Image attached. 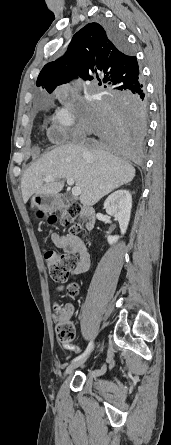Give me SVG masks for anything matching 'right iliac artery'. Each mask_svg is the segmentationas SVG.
I'll use <instances>...</instances> for the list:
<instances>
[{"mask_svg": "<svg viewBox=\"0 0 171 445\" xmlns=\"http://www.w3.org/2000/svg\"><path fill=\"white\" fill-rule=\"evenodd\" d=\"M92 348H93V342L91 341L88 344V346H87L86 350L84 351V353H82L80 356L76 357L73 361H76V360H79V359L85 357L91 351Z\"/></svg>", "mask_w": 171, "mask_h": 445, "instance_id": "82829eb1", "label": "right iliac artery"}]
</instances>
